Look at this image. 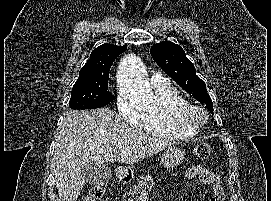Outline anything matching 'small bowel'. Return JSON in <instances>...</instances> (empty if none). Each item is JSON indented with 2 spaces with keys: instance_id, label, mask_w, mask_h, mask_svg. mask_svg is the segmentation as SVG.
<instances>
[{
  "instance_id": "c3829d8e",
  "label": "small bowel",
  "mask_w": 271,
  "mask_h": 201,
  "mask_svg": "<svg viewBox=\"0 0 271 201\" xmlns=\"http://www.w3.org/2000/svg\"><path fill=\"white\" fill-rule=\"evenodd\" d=\"M186 178L199 179L204 185L209 186L214 192V197L210 201H224V190L219 176L204 165L190 167L186 171Z\"/></svg>"
}]
</instances>
